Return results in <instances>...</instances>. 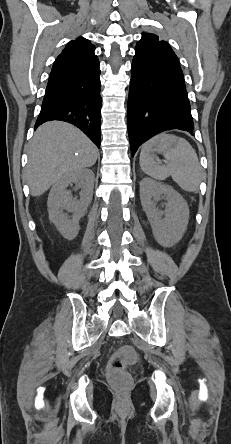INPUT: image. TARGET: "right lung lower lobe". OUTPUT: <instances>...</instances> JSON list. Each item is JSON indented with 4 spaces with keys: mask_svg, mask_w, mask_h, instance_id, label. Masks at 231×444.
<instances>
[{
    "mask_svg": "<svg viewBox=\"0 0 231 444\" xmlns=\"http://www.w3.org/2000/svg\"><path fill=\"white\" fill-rule=\"evenodd\" d=\"M99 65L89 71L49 79L35 129L50 120L80 128L100 147L101 97Z\"/></svg>",
    "mask_w": 231,
    "mask_h": 444,
    "instance_id": "1",
    "label": "right lung lower lobe"
}]
</instances>
